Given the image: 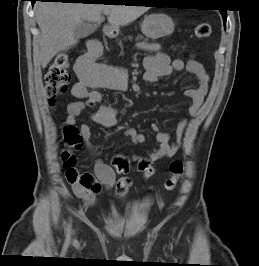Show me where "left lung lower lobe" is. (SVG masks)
Masks as SVG:
<instances>
[{
  "label": "left lung lower lobe",
  "mask_w": 259,
  "mask_h": 266,
  "mask_svg": "<svg viewBox=\"0 0 259 266\" xmlns=\"http://www.w3.org/2000/svg\"><path fill=\"white\" fill-rule=\"evenodd\" d=\"M222 12V17H223V22H224V26L226 25V10H220Z\"/></svg>",
  "instance_id": "0a47b994"
}]
</instances>
